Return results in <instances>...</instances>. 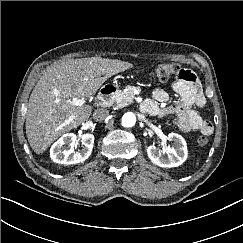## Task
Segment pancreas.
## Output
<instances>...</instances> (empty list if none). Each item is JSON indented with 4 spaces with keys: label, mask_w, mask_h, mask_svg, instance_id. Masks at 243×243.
Segmentation results:
<instances>
[{
    "label": "pancreas",
    "mask_w": 243,
    "mask_h": 243,
    "mask_svg": "<svg viewBox=\"0 0 243 243\" xmlns=\"http://www.w3.org/2000/svg\"><path fill=\"white\" fill-rule=\"evenodd\" d=\"M133 90L134 87L126 86L123 91L117 92L109 99L110 103H115L118 108H122L131 104L135 97Z\"/></svg>",
    "instance_id": "cf45deb5"
}]
</instances>
